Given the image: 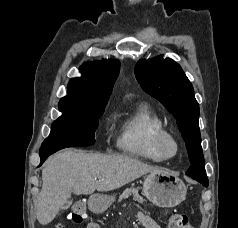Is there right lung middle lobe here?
I'll use <instances>...</instances> for the list:
<instances>
[{
    "label": "right lung middle lobe",
    "instance_id": "obj_1",
    "mask_svg": "<svg viewBox=\"0 0 238 228\" xmlns=\"http://www.w3.org/2000/svg\"><path fill=\"white\" fill-rule=\"evenodd\" d=\"M106 104L97 105L88 112H62V116L52 124L51 133L42 143L40 151L94 144L95 130Z\"/></svg>",
    "mask_w": 238,
    "mask_h": 228
}]
</instances>
